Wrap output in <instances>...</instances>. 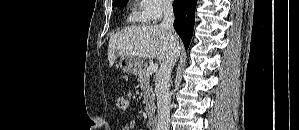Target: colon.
<instances>
[{
  "mask_svg": "<svg viewBox=\"0 0 299 130\" xmlns=\"http://www.w3.org/2000/svg\"><path fill=\"white\" fill-rule=\"evenodd\" d=\"M128 102L125 96H119L117 98V107L121 110H125L127 108Z\"/></svg>",
  "mask_w": 299,
  "mask_h": 130,
  "instance_id": "obj_1",
  "label": "colon"
}]
</instances>
